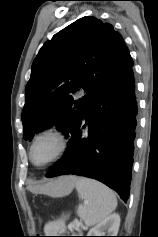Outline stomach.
I'll return each mask as SVG.
<instances>
[{
    "label": "stomach",
    "mask_w": 158,
    "mask_h": 237,
    "mask_svg": "<svg viewBox=\"0 0 158 237\" xmlns=\"http://www.w3.org/2000/svg\"><path fill=\"white\" fill-rule=\"evenodd\" d=\"M73 188H74V186L72 184L65 186V187L59 189L54 196H58V197L65 196V195L69 194Z\"/></svg>",
    "instance_id": "obj_1"
}]
</instances>
